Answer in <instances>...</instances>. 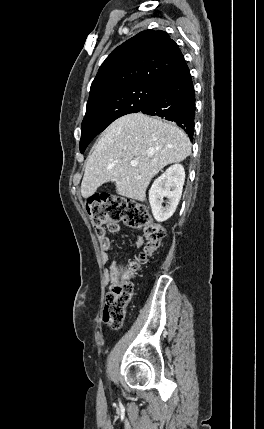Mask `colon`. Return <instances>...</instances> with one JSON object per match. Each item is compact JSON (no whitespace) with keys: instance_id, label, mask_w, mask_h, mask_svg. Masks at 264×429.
I'll list each match as a JSON object with an SVG mask.
<instances>
[{"instance_id":"obj_1","label":"colon","mask_w":264,"mask_h":429,"mask_svg":"<svg viewBox=\"0 0 264 429\" xmlns=\"http://www.w3.org/2000/svg\"><path fill=\"white\" fill-rule=\"evenodd\" d=\"M86 210L97 233H102L105 224L110 221H121L132 228L143 229L147 243L139 260L151 255L164 237L163 227L153 222L147 208L135 201L110 194H98L87 200ZM137 267L138 261H135L127 268L115 269L117 279L106 293L103 311L104 323L112 328L123 325L133 294L132 277Z\"/></svg>"}]
</instances>
